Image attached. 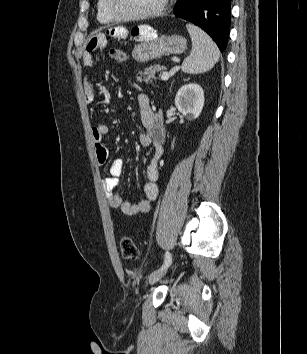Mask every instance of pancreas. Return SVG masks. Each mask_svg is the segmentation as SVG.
<instances>
[{"label": "pancreas", "mask_w": 307, "mask_h": 354, "mask_svg": "<svg viewBox=\"0 0 307 354\" xmlns=\"http://www.w3.org/2000/svg\"><path fill=\"white\" fill-rule=\"evenodd\" d=\"M163 70L164 67L159 64L147 67L144 71L138 72L137 81H144L146 84L153 83L157 79V74Z\"/></svg>", "instance_id": "pancreas-1"}]
</instances>
